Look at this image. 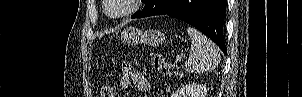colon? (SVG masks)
Wrapping results in <instances>:
<instances>
[{
  "label": "colon",
  "instance_id": "5ec220e1",
  "mask_svg": "<svg viewBox=\"0 0 302 97\" xmlns=\"http://www.w3.org/2000/svg\"><path fill=\"white\" fill-rule=\"evenodd\" d=\"M151 62L155 69L168 76H180V71L175 64L168 63L158 54H151ZM101 97H115V87L112 84H104L101 87Z\"/></svg>",
  "mask_w": 302,
  "mask_h": 97
}]
</instances>
